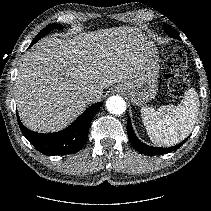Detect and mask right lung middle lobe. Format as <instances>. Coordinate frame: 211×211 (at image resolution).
<instances>
[{"label": "right lung middle lobe", "instance_id": "obj_1", "mask_svg": "<svg viewBox=\"0 0 211 211\" xmlns=\"http://www.w3.org/2000/svg\"><path fill=\"white\" fill-rule=\"evenodd\" d=\"M63 26L62 25H58V24H50L47 27H45L32 41L31 45L32 46L34 43H36L39 39H41L42 37H44L46 34H48L51 30L53 29H62Z\"/></svg>", "mask_w": 211, "mask_h": 211}]
</instances>
